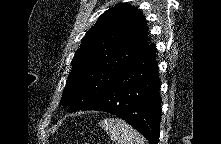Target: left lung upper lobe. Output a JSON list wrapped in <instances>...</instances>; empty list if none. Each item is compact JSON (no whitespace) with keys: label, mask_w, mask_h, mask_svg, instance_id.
<instances>
[{"label":"left lung upper lobe","mask_w":221,"mask_h":144,"mask_svg":"<svg viewBox=\"0 0 221 144\" xmlns=\"http://www.w3.org/2000/svg\"><path fill=\"white\" fill-rule=\"evenodd\" d=\"M147 32L145 17L126 3L102 14L73 58L61 104L71 111L91 107L149 45Z\"/></svg>","instance_id":"obj_1"}]
</instances>
